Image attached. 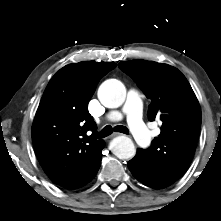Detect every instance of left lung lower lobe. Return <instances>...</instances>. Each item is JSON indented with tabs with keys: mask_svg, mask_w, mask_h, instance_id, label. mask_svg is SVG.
<instances>
[{
	"mask_svg": "<svg viewBox=\"0 0 221 221\" xmlns=\"http://www.w3.org/2000/svg\"><path fill=\"white\" fill-rule=\"evenodd\" d=\"M128 168L133 176L144 185L154 189L163 188L155 180L142 149H137L136 156L128 162Z\"/></svg>",
	"mask_w": 221,
	"mask_h": 221,
	"instance_id": "1",
	"label": "left lung lower lobe"
}]
</instances>
